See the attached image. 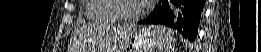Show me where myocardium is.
<instances>
[{
	"label": "myocardium",
	"instance_id": "1",
	"mask_svg": "<svg viewBox=\"0 0 261 52\" xmlns=\"http://www.w3.org/2000/svg\"><path fill=\"white\" fill-rule=\"evenodd\" d=\"M120 1H128V0H114V2H113V10H114L115 16L118 18L119 22H125V23L135 22V21L139 20L141 17H143V15L145 14L146 6L143 2H140L139 9L134 15L126 16V15L120 14L117 10L118 3Z\"/></svg>",
	"mask_w": 261,
	"mask_h": 52
}]
</instances>
